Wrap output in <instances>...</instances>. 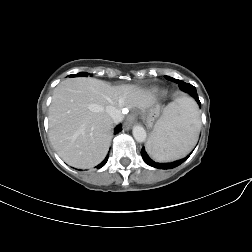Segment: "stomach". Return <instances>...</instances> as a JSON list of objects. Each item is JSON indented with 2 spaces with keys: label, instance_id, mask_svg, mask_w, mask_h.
<instances>
[{
  "label": "stomach",
  "instance_id": "1",
  "mask_svg": "<svg viewBox=\"0 0 252 252\" xmlns=\"http://www.w3.org/2000/svg\"><path fill=\"white\" fill-rule=\"evenodd\" d=\"M159 114V110L157 108L151 110V113L148 117V122L151 124L155 117H157Z\"/></svg>",
  "mask_w": 252,
  "mask_h": 252
}]
</instances>
